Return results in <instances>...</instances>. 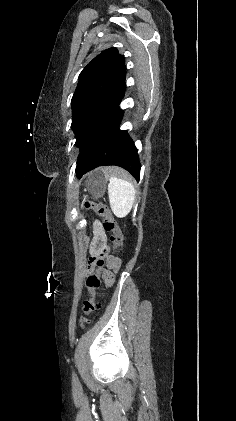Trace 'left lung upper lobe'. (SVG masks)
I'll return each mask as SVG.
<instances>
[{
  "label": "left lung upper lobe",
  "mask_w": 236,
  "mask_h": 421,
  "mask_svg": "<svg viewBox=\"0 0 236 421\" xmlns=\"http://www.w3.org/2000/svg\"><path fill=\"white\" fill-rule=\"evenodd\" d=\"M125 78V60L116 48L96 56L80 73L71 100V126L80 154L98 119L124 93Z\"/></svg>",
  "instance_id": "5c2ea615"
}]
</instances>
